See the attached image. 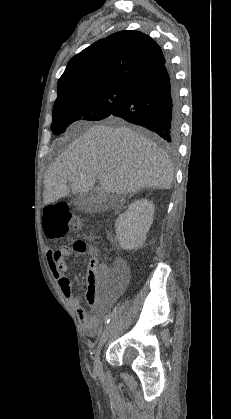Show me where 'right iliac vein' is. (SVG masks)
Returning a JSON list of instances; mask_svg holds the SVG:
<instances>
[{"label": "right iliac vein", "instance_id": "63e3f726", "mask_svg": "<svg viewBox=\"0 0 231 419\" xmlns=\"http://www.w3.org/2000/svg\"><path fill=\"white\" fill-rule=\"evenodd\" d=\"M111 330H112V323H110L106 327V329L104 330V332H103V334H102V336L100 338L98 347H97V349L95 351L94 366H95V369L96 370H100L101 367H102L101 360H100V352H101L102 347L104 346V344L108 340V338H109V336L111 334Z\"/></svg>", "mask_w": 231, "mask_h": 419}]
</instances>
